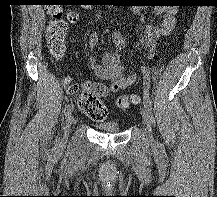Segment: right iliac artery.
I'll list each match as a JSON object with an SVG mask.
<instances>
[{
    "instance_id": "right-iliac-artery-1",
    "label": "right iliac artery",
    "mask_w": 217,
    "mask_h": 197,
    "mask_svg": "<svg viewBox=\"0 0 217 197\" xmlns=\"http://www.w3.org/2000/svg\"><path fill=\"white\" fill-rule=\"evenodd\" d=\"M74 106L72 103L68 104L65 106V109H64V115H68L72 110H73Z\"/></svg>"
}]
</instances>
